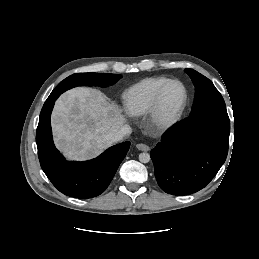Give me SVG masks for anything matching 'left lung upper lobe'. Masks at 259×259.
I'll return each instance as SVG.
<instances>
[{
	"label": "left lung upper lobe",
	"instance_id": "obj_1",
	"mask_svg": "<svg viewBox=\"0 0 259 259\" xmlns=\"http://www.w3.org/2000/svg\"><path fill=\"white\" fill-rule=\"evenodd\" d=\"M192 79L196 95L192 115L212 109H226L225 102L213 83L193 69H186Z\"/></svg>",
	"mask_w": 259,
	"mask_h": 259
}]
</instances>
